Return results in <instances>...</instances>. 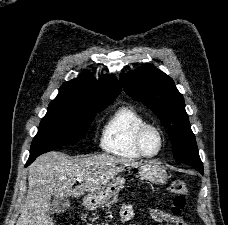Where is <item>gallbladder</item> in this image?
<instances>
[{"label":"gallbladder","mask_w":228,"mask_h":225,"mask_svg":"<svg viewBox=\"0 0 228 225\" xmlns=\"http://www.w3.org/2000/svg\"><path fill=\"white\" fill-rule=\"evenodd\" d=\"M71 203L69 199H60V197H55L51 203V213H65L69 209Z\"/></svg>","instance_id":"bac80fb5"}]
</instances>
